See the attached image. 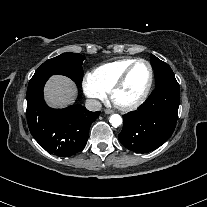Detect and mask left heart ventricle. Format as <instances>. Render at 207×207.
Here are the masks:
<instances>
[{
    "label": "left heart ventricle",
    "mask_w": 207,
    "mask_h": 207,
    "mask_svg": "<svg viewBox=\"0 0 207 207\" xmlns=\"http://www.w3.org/2000/svg\"><path fill=\"white\" fill-rule=\"evenodd\" d=\"M149 80V70L146 64H137L130 72L124 86L117 92L115 98L119 103L128 104L138 99L145 90Z\"/></svg>",
    "instance_id": "1"
}]
</instances>
